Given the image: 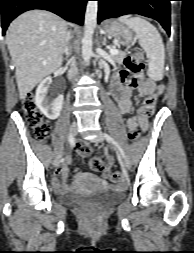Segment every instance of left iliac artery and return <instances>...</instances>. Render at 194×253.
Wrapping results in <instances>:
<instances>
[{
  "label": "left iliac artery",
  "mask_w": 194,
  "mask_h": 253,
  "mask_svg": "<svg viewBox=\"0 0 194 253\" xmlns=\"http://www.w3.org/2000/svg\"><path fill=\"white\" fill-rule=\"evenodd\" d=\"M104 137L106 138V140H107L109 143H111V144L114 145V148H115V150H116L117 153H118L119 159L124 158V157H125V154H124L123 150H122V149L118 146V144L115 142V140H114L109 134H107V133H104Z\"/></svg>",
  "instance_id": "left-iliac-artery-1"
}]
</instances>
